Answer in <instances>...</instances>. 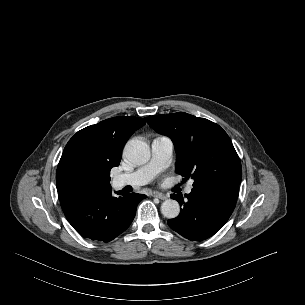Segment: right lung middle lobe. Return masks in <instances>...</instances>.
<instances>
[{"instance_id": "obj_1", "label": "right lung middle lobe", "mask_w": 305, "mask_h": 305, "mask_svg": "<svg viewBox=\"0 0 305 305\" xmlns=\"http://www.w3.org/2000/svg\"><path fill=\"white\" fill-rule=\"evenodd\" d=\"M78 170L79 173L85 177L96 176L101 173L97 166L86 162L81 163Z\"/></svg>"}]
</instances>
